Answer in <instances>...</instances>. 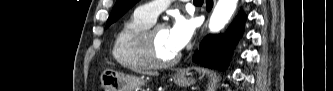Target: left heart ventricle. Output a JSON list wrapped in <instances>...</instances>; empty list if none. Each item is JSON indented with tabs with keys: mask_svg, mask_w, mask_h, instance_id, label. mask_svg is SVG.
Returning a JSON list of instances; mask_svg holds the SVG:
<instances>
[{
	"mask_svg": "<svg viewBox=\"0 0 333 91\" xmlns=\"http://www.w3.org/2000/svg\"><path fill=\"white\" fill-rule=\"evenodd\" d=\"M154 43L157 55L163 60L171 59L177 54L170 43L169 33L166 27L157 29L154 34Z\"/></svg>",
	"mask_w": 333,
	"mask_h": 91,
	"instance_id": "obj_1",
	"label": "left heart ventricle"
}]
</instances>
